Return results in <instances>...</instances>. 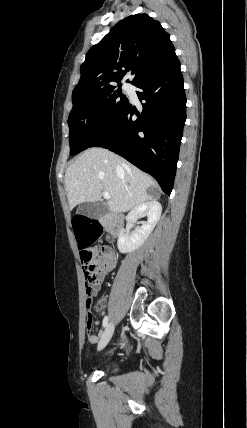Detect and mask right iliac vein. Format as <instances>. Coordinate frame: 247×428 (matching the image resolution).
I'll use <instances>...</instances> for the list:
<instances>
[{"mask_svg":"<svg viewBox=\"0 0 247 428\" xmlns=\"http://www.w3.org/2000/svg\"><path fill=\"white\" fill-rule=\"evenodd\" d=\"M114 332V324L112 322H110L105 331L102 334V337L98 343V350H102L103 348H105V346L108 344V342L110 341L112 335Z\"/></svg>","mask_w":247,"mask_h":428,"instance_id":"63e3f726","label":"right iliac vein"}]
</instances>
